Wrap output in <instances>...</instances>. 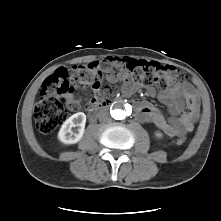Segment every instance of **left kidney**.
Instances as JSON below:
<instances>
[{"label": "left kidney", "instance_id": "left-kidney-1", "mask_svg": "<svg viewBox=\"0 0 221 221\" xmlns=\"http://www.w3.org/2000/svg\"><path fill=\"white\" fill-rule=\"evenodd\" d=\"M156 137L161 138L162 137V133L161 132H156L155 133Z\"/></svg>", "mask_w": 221, "mask_h": 221}]
</instances>
